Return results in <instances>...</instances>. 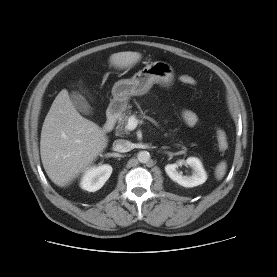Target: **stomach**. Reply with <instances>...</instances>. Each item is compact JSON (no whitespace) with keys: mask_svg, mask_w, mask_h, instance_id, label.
<instances>
[{"mask_svg":"<svg viewBox=\"0 0 277 277\" xmlns=\"http://www.w3.org/2000/svg\"><path fill=\"white\" fill-rule=\"evenodd\" d=\"M174 79V69L163 61L146 65L130 79L117 81L112 88L113 99L110 108L116 112H123L131 96L146 94L155 83L170 86Z\"/></svg>","mask_w":277,"mask_h":277,"instance_id":"stomach-1","label":"stomach"}]
</instances>
